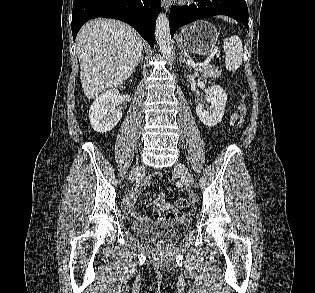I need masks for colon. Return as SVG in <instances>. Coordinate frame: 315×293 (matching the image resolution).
I'll use <instances>...</instances> for the list:
<instances>
[{
  "label": "colon",
  "mask_w": 315,
  "mask_h": 293,
  "mask_svg": "<svg viewBox=\"0 0 315 293\" xmlns=\"http://www.w3.org/2000/svg\"><path fill=\"white\" fill-rule=\"evenodd\" d=\"M250 107L249 105H245L244 103V97H242L240 105H239V114L241 118H238L237 120V126L238 127H245L247 120L246 118L249 117L250 114ZM187 200L185 198H178L176 200V205L179 209H184L187 207ZM182 217V216H181Z\"/></svg>",
  "instance_id": "obj_1"
}]
</instances>
